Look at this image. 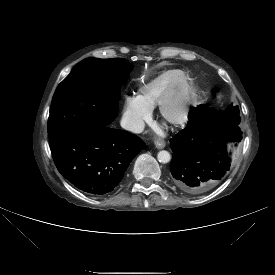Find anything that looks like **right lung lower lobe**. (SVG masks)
Returning <instances> with one entry per match:
<instances>
[{
    "label": "right lung lower lobe",
    "mask_w": 275,
    "mask_h": 275,
    "mask_svg": "<svg viewBox=\"0 0 275 275\" xmlns=\"http://www.w3.org/2000/svg\"><path fill=\"white\" fill-rule=\"evenodd\" d=\"M127 78L116 82L119 95ZM49 138L58 171L75 187L94 195L112 191L145 147L139 137L100 124L63 130Z\"/></svg>",
    "instance_id": "1"
}]
</instances>
